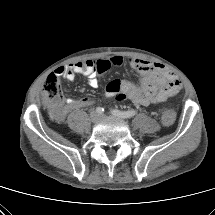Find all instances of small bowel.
Segmentation results:
<instances>
[{
	"instance_id": "small-bowel-1",
	"label": "small bowel",
	"mask_w": 215,
	"mask_h": 215,
	"mask_svg": "<svg viewBox=\"0 0 215 215\" xmlns=\"http://www.w3.org/2000/svg\"><path fill=\"white\" fill-rule=\"evenodd\" d=\"M123 62V57L119 55L102 60H83L61 66L55 70V74L69 81H73L77 74H82L88 77V84L92 88H97L98 77L110 67L120 66ZM129 65L140 72V82L133 84L119 79L112 80L106 86V97H116L118 100L129 99L138 105L148 106L165 101L168 96L181 88V82L176 75L162 64L130 58ZM93 103L94 100L89 97L78 100L67 98L65 108L57 117L62 119L70 109L88 107Z\"/></svg>"
}]
</instances>
